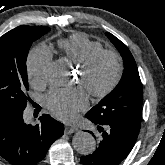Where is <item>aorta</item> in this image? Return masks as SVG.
Here are the masks:
<instances>
[{"label":"aorta","mask_w":165,"mask_h":165,"mask_svg":"<svg viewBox=\"0 0 165 165\" xmlns=\"http://www.w3.org/2000/svg\"><path fill=\"white\" fill-rule=\"evenodd\" d=\"M47 76L52 83L64 84L66 82V66L62 62H54L47 69ZM72 144L74 149L83 155L92 153L96 146L94 137L83 131L74 134Z\"/></svg>","instance_id":"obj_1"}]
</instances>
